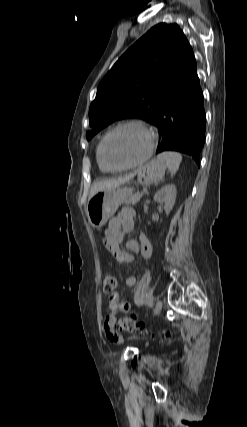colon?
Listing matches in <instances>:
<instances>
[{
    "label": "colon",
    "mask_w": 247,
    "mask_h": 427,
    "mask_svg": "<svg viewBox=\"0 0 247 427\" xmlns=\"http://www.w3.org/2000/svg\"><path fill=\"white\" fill-rule=\"evenodd\" d=\"M118 286V280L115 275L108 274L104 278V291L106 293H113ZM120 329L128 332H136L141 325L137 322L134 316L121 318L119 321Z\"/></svg>",
    "instance_id": "5ec220e1"
}]
</instances>
